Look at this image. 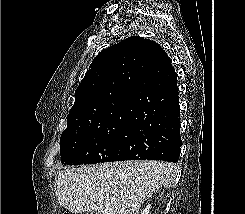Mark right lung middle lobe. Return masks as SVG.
<instances>
[{"instance_id":"1","label":"right lung middle lobe","mask_w":245,"mask_h":214,"mask_svg":"<svg viewBox=\"0 0 245 214\" xmlns=\"http://www.w3.org/2000/svg\"><path fill=\"white\" fill-rule=\"evenodd\" d=\"M128 123L95 129H66L60 138L62 164H94L116 161Z\"/></svg>"}]
</instances>
